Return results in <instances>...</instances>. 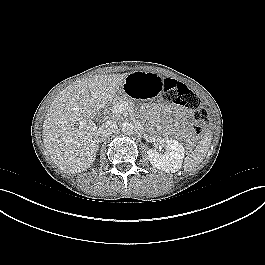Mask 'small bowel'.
<instances>
[{"label":"small bowel","mask_w":265,"mask_h":265,"mask_svg":"<svg viewBox=\"0 0 265 265\" xmlns=\"http://www.w3.org/2000/svg\"><path fill=\"white\" fill-rule=\"evenodd\" d=\"M176 114L179 116V117H186L188 115V112L185 111L184 109H176Z\"/></svg>","instance_id":"c3829d8e"}]
</instances>
